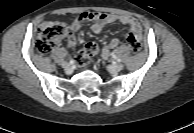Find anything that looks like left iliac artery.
<instances>
[{"label": "left iliac artery", "mask_w": 194, "mask_h": 133, "mask_svg": "<svg viewBox=\"0 0 194 133\" xmlns=\"http://www.w3.org/2000/svg\"><path fill=\"white\" fill-rule=\"evenodd\" d=\"M113 58H114V60H116V61H118V62H120L121 60L117 57V56H113Z\"/></svg>", "instance_id": "44dca946"}]
</instances>
